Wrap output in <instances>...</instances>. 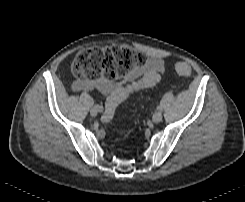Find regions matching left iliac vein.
Segmentation results:
<instances>
[{"label": "left iliac vein", "mask_w": 245, "mask_h": 202, "mask_svg": "<svg viewBox=\"0 0 245 202\" xmlns=\"http://www.w3.org/2000/svg\"><path fill=\"white\" fill-rule=\"evenodd\" d=\"M152 120L154 123H159L162 120V114L161 112L157 111L154 113Z\"/></svg>", "instance_id": "1"}]
</instances>
